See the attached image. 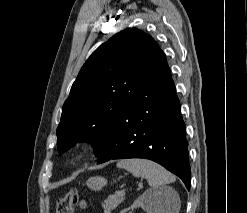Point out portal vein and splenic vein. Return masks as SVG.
Masks as SVG:
<instances>
[{"label":"portal vein and splenic vein","instance_id":"portal-vein-and-splenic-vein-1","mask_svg":"<svg viewBox=\"0 0 247 213\" xmlns=\"http://www.w3.org/2000/svg\"><path fill=\"white\" fill-rule=\"evenodd\" d=\"M119 195L124 196V195H125V190L120 191V192H119Z\"/></svg>","mask_w":247,"mask_h":213}]
</instances>
